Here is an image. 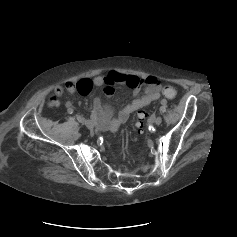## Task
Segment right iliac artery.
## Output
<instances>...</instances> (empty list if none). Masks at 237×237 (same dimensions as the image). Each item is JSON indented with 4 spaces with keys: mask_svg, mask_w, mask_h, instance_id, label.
Masks as SVG:
<instances>
[{
    "mask_svg": "<svg viewBox=\"0 0 237 237\" xmlns=\"http://www.w3.org/2000/svg\"><path fill=\"white\" fill-rule=\"evenodd\" d=\"M67 112H68L69 114H72V113L74 112V110H73L72 108H68V109H67Z\"/></svg>",
    "mask_w": 237,
    "mask_h": 237,
    "instance_id": "obj_1",
    "label": "right iliac artery"
}]
</instances>
